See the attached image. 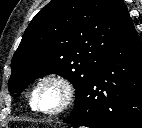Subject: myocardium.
Wrapping results in <instances>:
<instances>
[{
	"label": "myocardium",
	"mask_w": 142,
	"mask_h": 128,
	"mask_svg": "<svg viewBox=\"0 0 142 128\" xmlns=\"http://www.w3.org/2000/svg\"><path fill=\"white\" fill-rule=\"evenodd\" d=\"M49 83H54L58 85L62 92H63V100L61 105L56 108L55 110H44L40 106V94L43 89V87ZM75 99V87L71 80L67 78L66 76L58 73H53L44 76L39 80L37 83L35 94H34V108L39 113L46 115V116H57L62 113H64L66 110H68L71 105L73 104Z\"/></svg>",
	"instance_id": "obj_1"
}]
</instances>
